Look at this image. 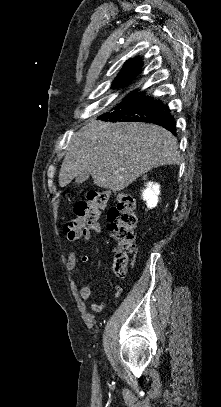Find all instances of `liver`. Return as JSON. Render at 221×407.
<instances>
[{"mask_svg": "<svg viewBox=\"0 0 221 407\" xmlns=\"http://www.w3.org/2000/svg\"><path fill=\"white\" fill-rule=\"evenodd\" d=\"M180 162L176 137L160 126L90 119L70 141L59 185L89 172L96 186L121 191L153 168Z\"/></svg>", "mask_w": 221, "mask_h": 407, "instance_id": "obj_1", "label": "liver"}]
</instances>
